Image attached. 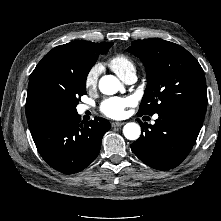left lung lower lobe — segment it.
I'll return each instance as SVG.
<instances>
[{
	"label": "left lung lower lobe",
	"mask_w": 221,
	"mask_h": 221,
	"mask_svg": "<svg viewBox=\"0 0 221 221\" xmlns=\"http://www.w3.org/2000/svg\"><path fill=\"white\" fill-rule=\"evenodd\" d=\"M204 115L203 112L185 108L165 111L159 114L154 125L145 127L141 124L145 133L131 145V149L140 160L154 169L174 168L191 151Z\"/></svg>",
	"instance_id": "left-lung-lower-lobe-1"
}]
</instances>
